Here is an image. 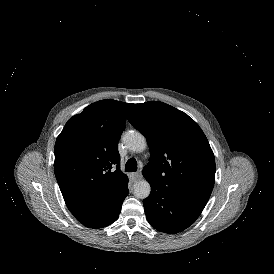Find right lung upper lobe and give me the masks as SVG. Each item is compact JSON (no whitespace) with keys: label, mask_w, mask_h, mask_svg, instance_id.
Here are the masks:
<instances>
[{"label":"right lung upper lobe","mask_w":274,"mask_h":274,"mask_svg":"<svg viewBox=\"0 0 274 274\" xmlns=\"http://www.w3.org/2000/svg\"><path fill=\"white\" fill-rule=\"evenodd\" d=\"M132 106L111 99L95 102L71 117L56 140L55 176L81 223L100 219L128 184L120 171L118 141Z\"/></svg>","instance_id":"right-lung-upper-lobe-1"}]
</instances>
